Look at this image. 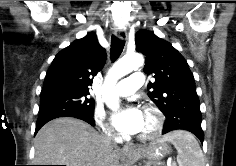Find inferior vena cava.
<instances>
[{"instance_id": "inferior-vena-cava-1", "label": "inferior vena cava", "mask_w": 236, "mask_h": 166, "mask_svg": "<svg viewBox=\"0 0 236 166\" xmlns=\"http://www.w3.org/2000/svg\"><path fill=\"white\" fill-rule=\"evenodd\" d=\"M103 137L109 149H113L116 146V142L114 141L113 135L105 134ZM98 166H101V165L99 164Z\"/></svg>"}]
</instances>
